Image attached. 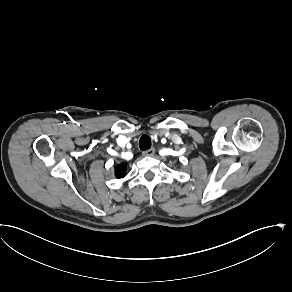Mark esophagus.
<instances>
[{
    "label": "esophagus",
    "mask_w": 292,
    "mask_h": 292,
    "mask_svg": "<svg viewBox=\"0 0 292 292\" xmlns=\"http://www.w3.org/2000/svg\"><path fill=\"white\" fill-rule=\"evenodd\" d=\"M155 154V148H150L142 152L143 156L152 157Z\"/></svg>",
    "instance_id": "obj_1"
}]
</instances>
